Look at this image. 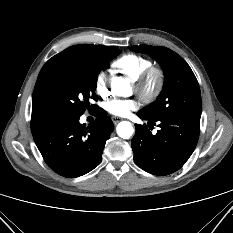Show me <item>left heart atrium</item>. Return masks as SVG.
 I'll use <instances>...</instances> for the list:
<instances>
[{"mask_svg":"<svg viewBox=\"0 0 233 233\" xmlns=\"http://www.w3.org/2000/svg\"><path fill=\"white\" fill-rule=\"evenodd\" d=\"M139 107V103L135 99L114 98L104 104L107 112L115 116H126L130 111Z\"/></svg>","mask_w":233,"mask_h":233,"instance_id":"1","label":"left heart atrium"}]
</instances>
